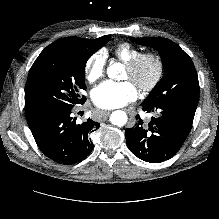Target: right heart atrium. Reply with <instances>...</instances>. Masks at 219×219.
Returning <instances> with one entry per match:
<instances>
[{
    "mask_svg": "<svg viewBox=\"0 0 219 219\" xmlns=\"http://www.w3.org/2000/svg\"><path fill=\"white\" fill-rule=\"evenodd\" d=\"M106 54L104 51L95 52L85 64V76L88 82L94 83L104 76Z\"/></svg>",
    "mask_w": 219,
    "mask_h": 219,
    "instance_id": "1",
    "label": "right heart atrium"
}]
</instances>
